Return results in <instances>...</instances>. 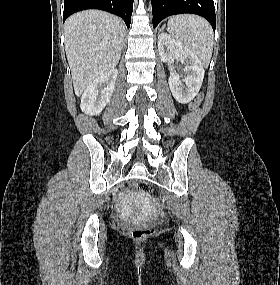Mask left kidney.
<instances>
[{
	"label": "left kidney",
	"instance_id": "left-kidney-1",
	"mask_svg": "<svg viewBox=\"0 0 280 285\" xmlns=\"http://www.w3.org/2000/svg\"><path fill=\"white\" fill-rule=\"evenodd\" d=\"M158 51L161 61L168 64V83L173 97L182 104L190 102L198 94L203 82L205 71L201 61L191 50L167 33L158 36ZM174 60L185 64L184 71L190 73L183 80L175 70Z\"/></svg>",
	"mask_w": 280,
	"mask_h": 285
}]
</instances>
